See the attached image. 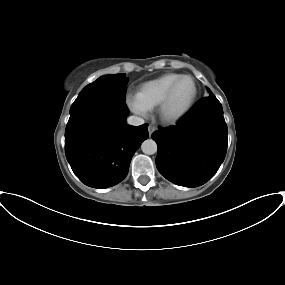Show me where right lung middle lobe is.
Segmentation results:
<instances>
[{"instance_id":"1","label":"right lung middle lobe","mask_w":285,"mask_h":285,"mask_svg":"<svg viewBox=\"0 0 285 285\" xmlns=\"http://www.w3.org/2000/svg\"><path fill=\"white\" fill-rule=\"evenodd\" d=\"M128 79L125 74L105 75L85 86L70 108V114L96 98H110L125 101Z\"/></svg>"}]
</instances>
